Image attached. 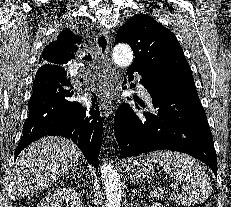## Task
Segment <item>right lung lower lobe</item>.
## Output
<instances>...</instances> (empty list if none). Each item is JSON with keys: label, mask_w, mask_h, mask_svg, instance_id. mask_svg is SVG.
Segmentation results:
<instances>
[{"label": "right lung lower lobe", "mask_w": 231, "mask_h": 207, "mask_svg": "<svg viewBox=\"0 0 231 207\" xmlns=\"http://www.w3.org/2000/svg\"><path fill=\"white\" fill-rule=\"evenodd\" d=\"M61 35L74 40L79 38L70 30ZM69 85L65 69L60 66H42L37 71L28 103L29 116L23 125L15 158L41 137L63 136L77 144L87 161L98 167L103 130L98 105L93 102L86 108L73 101L75 92L68 88Z\"/></svg>", "instance_id": "obj_1"}]
</instances>
